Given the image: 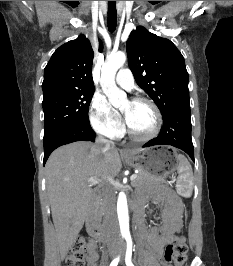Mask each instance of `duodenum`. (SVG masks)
<instances>
[{"label": "duodenum", "mask_w": 233, "mask_h": 266, "mask_svg": "<svg viewBox=\"0 0 233 266\" xmlns=\"http://www.w3.org/2000/svg\"><path fill=\"white\" fill-rule=\"evenodd\" d=\"M134 214L136 221L142 215V210L138 205L134 207ZM87 228L90 236L97 240L103 241L106 239V232L100 222V211H99V196L96 193L90 203L88 220H87Z\"/></svg>", "instance_id": "obj_1"}]
</instances>
